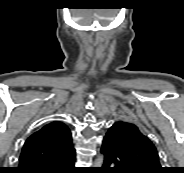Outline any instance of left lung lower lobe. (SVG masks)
Here are the masks:
<instances>
[{"label": "left lung lower lobe", "instance_id": "1", "mask_svg": "<svg viewBox=\"0 0 184 173\" xmlns=\"http://www.w3.org/2000/svg\"><path fill=\"white\" fill-rule=\"evenodd\" d=\"M101 151L104 154V165L99 168L100 173H135L125 158L112 147L108 138L104 137Z\"/></svg>", "mask_w": 184, "mask_h": 173}]
</instances>
